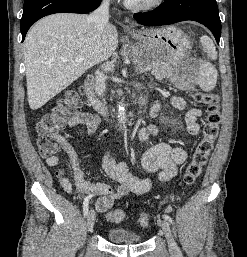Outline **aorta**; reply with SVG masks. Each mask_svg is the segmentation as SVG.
I'll return each mask as SVG.
<instances>
[{
	"mask_svg": "<svg viewBox=\"0 0 247 257\" xmlns=\"http://www.w3.org/2000/svg\"><path fill=\"white\" fill-rule=\"evenodd\" d=\"M118 121L123 126L126 122V109L122 102H120L118 105Z\"/></svg>",
	"mask_w": 247,
	"mask_h": 257,
	"instance_id": "762f6f07",
	"label": "aorta"
}]
</instances>
